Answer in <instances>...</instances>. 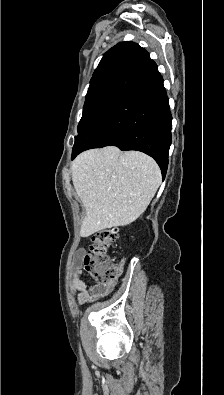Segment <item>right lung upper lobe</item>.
<instances>
[{
    "label": "right lung upper lobe",
    "instance_id": "cb5924a9",
    "mask_svg": "<svg viewBox=\"0 0 224 395\" xmlns=\"http://www.w3.org/2000/svg\"><path fill=\"white\" fill-rule=\"evenodd\" d=\"M141 47L130 41L120 42L110 48L102 57L98 67L93 73L91 80L97 79L107 73L120 70L122 66L140 49Z\"/></svg>",
    "mask_w": 224,
    "mask_h": 395
}]
</instances>
